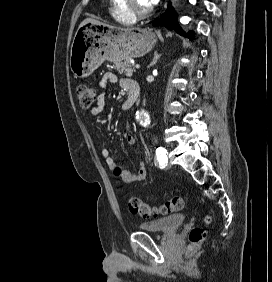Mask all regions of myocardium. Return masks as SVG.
Wrapping results in <instances>:
<instances>
[{
    "label": "myocardium",
    "instance_id": "myocardium-1",
    "mask_svg": "<svg viewBox=\"0 0 272 282\" xmlns=\"http://www.w3.org/2000/svg\"><path fill=\"white\" fill-rule=\"evenodd\" d=\"M123 8L134 18H143L152 12V8L139 10L134 0H123Z\"/></svg>",
    "mask_w": 272,
    "mask_h": 282
}]
</instances>
